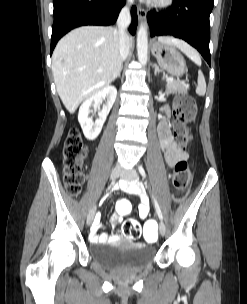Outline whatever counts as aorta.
<instances>
[{"instance_id": "1", "label": "aorta", "mask_w": 247, "mask_h": 304, "mask_svg": "<svg viewBox=\"0 0 247 304\" xmlns=\"http://www.w3.org/2000/svg\"><path fill=\"white\" fill-rule=\"evenodd\" d=\"M137 54L138 60L145 65L148 58V37L145 24H141L137 33Z\"/></svg>"}]
</instances>
